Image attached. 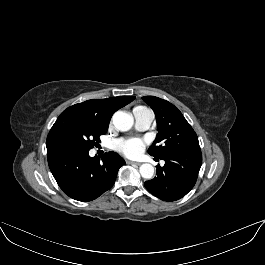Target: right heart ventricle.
<instances>
[{"mask_svg": "<svg viewBox=\"0 0 265 265\" xmlns=\"http://www.w3.org/2000/svg\"><path fill=\"white\" fill-rule=\"evenodd\" d=\"M141 108H145V107L137 106V107H135V108L133 109V112H134L135 110H138V109H141Z\"/></svg>", "mask_w": 265, "mask_h": 265, "instance_id": "right-heart-ventricle-1", "label": "right heart ventricle"}]
</instances>
